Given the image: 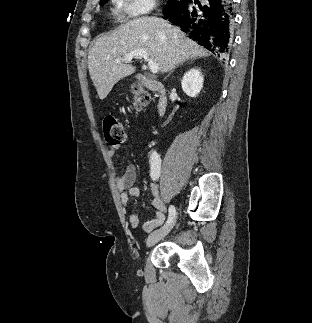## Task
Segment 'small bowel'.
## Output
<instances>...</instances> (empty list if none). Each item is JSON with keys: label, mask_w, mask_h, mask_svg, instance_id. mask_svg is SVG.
Instances as JSON below:
<instances>
[{"label": "small bowel", "mask_w": 312, "mask_h": 323, "mask_svg": "<svg viewBox=\"0 0 312 323\" xmlns=\"http://www.w3.org/2000/svg\"><path fill=\"white\" fill-rule=\"evenodd\" d=\"M109 153L113 156L116 151L112 148L109 150ZM135 179L136 169L133 165L128 166L117 178V188L121 192L120 200L125 208L129 205L130 197H139L140 195L139 188L134 185ZM150 192L152 194L151 203L156 208V212L150 220L144 223H140L138 213H132L129 217V224L132 228L140 227L143 231L149 232L164 222L165 207L159 197V191L155 184L150 185Z\"/></svg>", "instance_id": "1"}]
</instances>
